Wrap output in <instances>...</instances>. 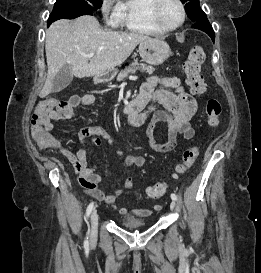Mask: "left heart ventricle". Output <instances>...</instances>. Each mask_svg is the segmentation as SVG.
Segmentation results:
<instances>
[{
	"label": "left heart ventricle",
	"instance_id": "obj_1",
	"mask_svg": "<svg viewBox=\"0 0 261 273\" xmlns=\"http://www.w3.org/2000/svg\"><path fill=\"white\" fill-rule=\"evenodd\" d=\"M161 21L166 26H175L181 19V12L173 0H166L160 10Z\"/></svg>",
	"mask_w": 261,
	"mask_h": 273
}]
</instances>
